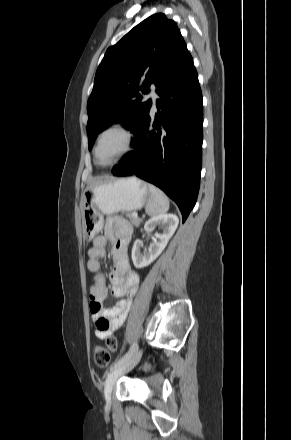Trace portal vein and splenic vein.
<instances>
[{
  "instance_id": "portal-vein-and-splenic-vein-1",
  "label": "portal vein and splenic vein",
  "mask_w": 291,
  "mask_h": 440,
  "mask_svg": "<svg viewBox=\"0 0 291 440\" xmlns=\"http://www.w3.org/2000/svg\"><path fill=\"white\" fill-rule=\"evenodd\" d=\"M132 216L137 218V217H138V214H137L136 212H133V213H132Z\"/></svg>"
}]
</instances>
